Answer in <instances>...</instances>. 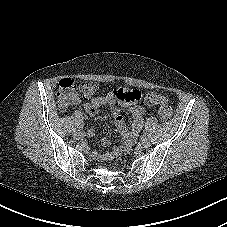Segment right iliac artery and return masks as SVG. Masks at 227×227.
Here are the masks:
<instances>
[{"label": "right iliac artery", "mask_w": 227, "mask_h": 227, "mask_svg": "<svg viewBox=\"0 0 227 227\" xmlns=\"http://www.w3.org/2000/svg\"><path fill=\"white\" fill-rule=\"evenodd\" d=\"M81 125L80 124H75V129H80Z\"/></svg>", "instance_id": "right-iliac-artery-1"}]
</instances>
